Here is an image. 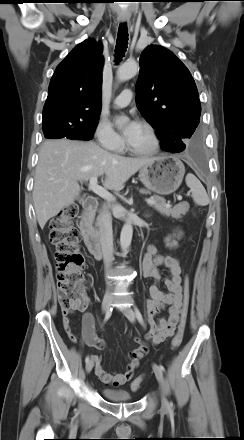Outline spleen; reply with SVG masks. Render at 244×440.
Returning <instances> with one entry per match:
<instances>
[{
	"label": "spleen",
	"instance_id": "1",
	"mask_svg": "<svg viewBox=\"0 0 244 440\" xmlns=\"http://www.w3.org/2000/svg\"><path fill=\"white\" fill-rule=\"evenodd\" d=\"M186 184L190 188L195 204L199 206H206L209 204L210 201L206 190L195 175L188 173L186 176Z\"/></svg>",
	"mask_w": 244,
	"mask_h": 440
}]
</instances>
